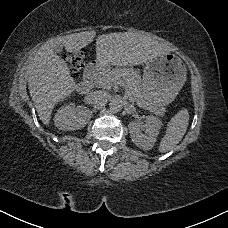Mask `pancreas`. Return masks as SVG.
<instances>
[{
    "mask_svg": "<svg viewBox=\"0 0 228 228\" xmlns=\"http://www.w3.org/2000/svg\"><path fill=\"white\" fill-rule=\"evenodd\" d=\"M119 85L123 89L127 90V95L134 99V101L138 102L142 105V108L145 111L152 112L155 115L164 116L166 114V108L161 107L158 109H148L146 105H144L140 101V76L135 73L133 69L124 70V69H110L106 68L105 73L96 81V85L104 87L106 89H111L112 85Z\"/></svg>",
    "mask_w": 228,
    "mask_h": 228,
    "instance_id": "pancreas-1",
    "label": "pancreas"
}]
</instances>
